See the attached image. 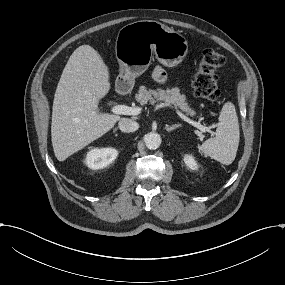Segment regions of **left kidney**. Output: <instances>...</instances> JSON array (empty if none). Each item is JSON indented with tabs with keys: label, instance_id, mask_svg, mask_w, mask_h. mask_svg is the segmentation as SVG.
<instances>
[{
	"label": "left kidney",
	"instance_id": "1",
	"mask_svg": "<svg viewBox=\"0 0 285 285\" xmlns=\"http://www.w3.org/2000/svg\"><path fill=\"white\" fill-rule=\"evenodd\" d=\"M185 163L187 164V166L191 169H195L196 168V163L194 162V160L189 157V156H186L185 159H184Z\"/></svg>",
	"mask_w": 285,
	"mask_h": 285
}]
</instances>
